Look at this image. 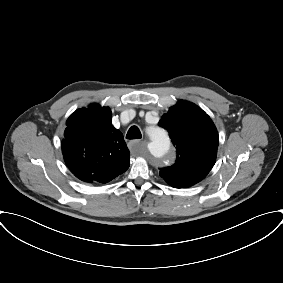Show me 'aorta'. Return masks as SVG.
<instances>
[{"instance_id": "1", "label": "aorta", "mask_w": 283, "mask_h": 283, "mask_svg": "<svg viewBox=\"0 0 283 283\" xmlns=\"http://www.w3.org/2000/svg\"><path fill=\"white\" fill-rule=\"evenodd\" d=\"M151 141L148 144L150 154L158 161L164 162L170 149V141L166 133L160 128H153L150 132Z\"/></svg>"}]
</instances>
